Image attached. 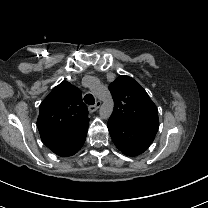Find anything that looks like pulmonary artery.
<instances>
[{
  "mask_svg": "<svg viewBox=\"0 0 208 208\" xmlns=\"http://www.w3.org/2000/svg\"><path fill=\"white\" fill-rule=\"evenodd\" d=\"M93 84H97V82H96V81H94V82H93Z\"/></svg>",
  "mask_w": 208,
  "mask_h": 208,
  "instance_id": "1",
  "label": "pulmonary artery"
}]
</instances>
